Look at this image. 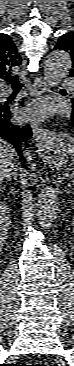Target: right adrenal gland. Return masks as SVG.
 I'll list each match as a JSON object with an SVG mask.
<instances>
[{
  "mask_svg": "<svg viewBox=\"0 0 74 366\" xmlns=\"http://www.w3.org/2000/svg\"><path fill=\"white\" fill-rule=\"evenodd\" d=\"M11 176L16 177V173L14 172L12 175H10L8 178H6V181H11Z\"/></svg>",
  "mask_w": 74,
  "mask_h": 366,
  "instance_id": "obj_1",
  "label": "right adrenal gland"
}]
</instances>
